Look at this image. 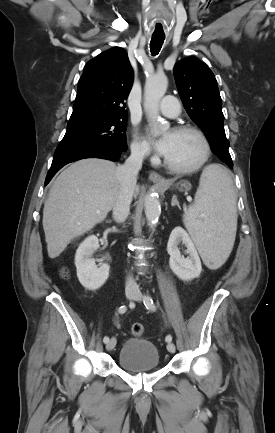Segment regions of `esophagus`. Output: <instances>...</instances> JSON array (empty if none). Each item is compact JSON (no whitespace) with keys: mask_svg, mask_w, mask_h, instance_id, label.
I'll list each match as a JSON object with an SVG mask.
<instances>
[{"mask_svg":"<svg viewBox=\"0 0 275 433\" xmlns=\"http://www.w3.org/2000/svg\"><path fill=\"white\" fill-rule=\"evenodd\" d=\"M149 179H150V181H152L156 185H164V184H166V180L160 174H158L155 171H150V173H149Z\"/></svg>","mask_w":275,"mask_h":433,"instance_id":"obj_1","label":"esophagus"}]
</instances>
